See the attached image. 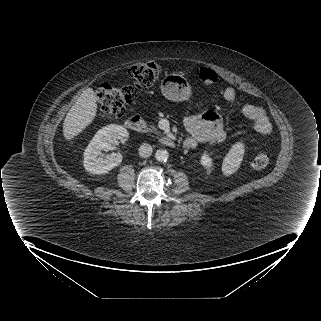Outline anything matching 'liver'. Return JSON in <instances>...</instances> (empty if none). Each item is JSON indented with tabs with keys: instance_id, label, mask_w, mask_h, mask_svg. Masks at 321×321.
Masks as SVG:
<instances>
[{
	"instance_id": "6515ba94",
	"label": "liver",
	"mask_w": 321,
	"mask_h": 321,
	"mask_svg": "<svg viewBox=\"0 0 321 321\" xmlns=\"http://www.w3.org/2000/svg\"><path fill=\"white\" fill-rule=\"evenodd\" d=\"M97 115L96 95L86 89L67 113L63 123V136L70 141L80 134Z\"/></svg>"
}]
</instances>
